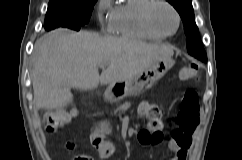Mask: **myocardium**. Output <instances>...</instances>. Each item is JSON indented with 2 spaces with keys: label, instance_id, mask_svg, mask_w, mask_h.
<instances>
[{
  "label": "myocardium",
  "instance_id": "obj_1",
  "mask_svg": "<svg viewBox=\"0 0 242 160\" xmlns=\"http://www.w3.org/2000/svg\"><path fill=\"white\" fill-rule=\"evenodd\" d=\"M158 5L167 6L174 13V15L176 17L177 24H176V28L173 32H171V33L161 32L153 24L152 12H153L154 8ZM141 21H142V24L145 27V29L148 32H150L151 34L158 36L160 38H168V37L174 36L178 32V30L180 29L181 16H180V13L177 10V8L172 3H170L169 1H167V0H150V2L148 4H146L141 11Z\"/></svg>",
  "mask_w": 242,
  "mask_h": 160
}]
</instances>
